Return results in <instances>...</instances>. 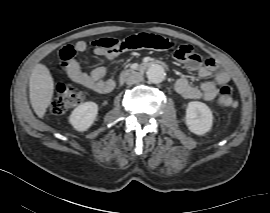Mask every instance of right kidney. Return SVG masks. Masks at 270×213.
I'll list each match as a JSON object with an SVG mask.
<instances>
[{"mask_svg":"<svg viewBox=\"0 0 270 213\" xmlns=\"http://www.w3.org/2000/svg\"><path fill=\"white\" fill-rule=\"evenodd\" d=\"M97 114L98 105L95 102H85L72 111L69 122L77 131H86L95 121Z\"/></svg>","mask_w":270,"mask_h":213,"instance_id":"ca27d5eb","label":"right kidney"}]
</instances>
